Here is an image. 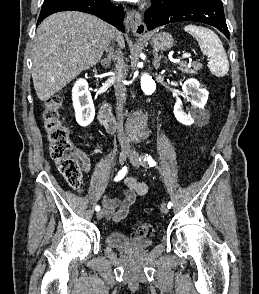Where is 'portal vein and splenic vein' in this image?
Returning a JSON list of instances; mask_svg holds the SVG:
<instances>
[{
	"label": "portal vein and splenic vein",
	"instance_id": "obj_1",
	"mask_svg": "<svg viewBox=\"0 0 259 294\" xmlns=\"http://www.w3.org/2000/svg\"><path fill=\"white\" fill-rule=\"evenodd\" d=\"M191 57V54L190 53H185L183 54L182 58H190Z\"/></svg>",
	"mask_w": 259,
	"mask_h": 294
}]
</instances>
